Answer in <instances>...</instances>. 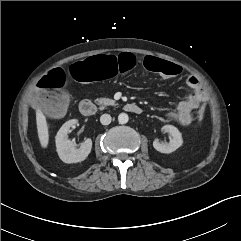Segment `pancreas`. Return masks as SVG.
I'll return each mask as SVG.
<instances>
[{
  "mask_svg": "<svg viewBox=\"0 0 241 241\" xmlns=\"http://www.w3.org/2000/svg\"><path fill=\"white\" fill-rule=\"evenodd\" d=\"M95 102L100 105V109H104L106 106L116 105L115 101L109 98H97Z\"/></svg>",
  "mask_w": 241,
  "mask_h": 241,
  "instance_id": "cf45deb5",
  "label": "pancreas"
}]
</instances>
